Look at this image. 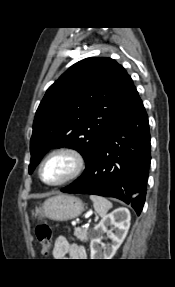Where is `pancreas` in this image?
Instances as JSON below:
<instances>
[{"instance_id": "pancreas-1", "label": "pancreas", "mask_w": 175, "mask_h": 287, "mask_svg": "<svg viewBox=\"0 0 175 287\" xmlns=\"http://www.w3.org/2000/svg\"><path fill=\"white\" fill-rule=\"evenodd\" d=\"M74 235L82 242L88 241V228H75Z\"/></svg>"}]
</instances>
